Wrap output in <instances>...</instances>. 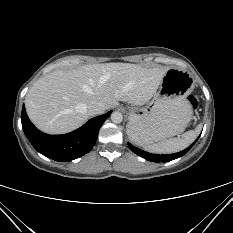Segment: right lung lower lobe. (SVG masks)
<instances>
[{"label": "right lung lower lobe", "mask_w": 233, "mask_h": 233, "mask_svg": "<svg viewBox=\"0 0 233 233\" xmlns=\"http://www.w3.org/2000/svg\"><path fill=\"white\" fill-rule=\"evenodd\" d=\"M112 111L90 119L79 129L64 135H48L39 131L22 108L23 131L32 146L44 156L56 161H72L88 153L94 146L98 132Z\"/></svg>", "instance_id": "right-lung-lower-lobe-1"}]
</instances>
